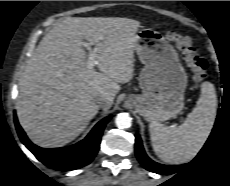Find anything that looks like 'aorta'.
<instances>
[{"label":"aorta","mask_w":230,"mask_h":186,"mask_svg":"<svg viewBox=\"0 0 230 186\" xmlns=\"http://www.w3.org/2000/svg\"><path fill=\"white\" fill-rule=\"evenodd\" d=\"M132 118L128 113H120L116 116L115 124L119 129H127L131 126Z\"/></svg>","instance_id":"obj_1"}]
</instances>
